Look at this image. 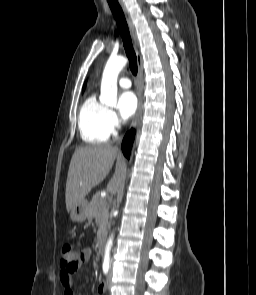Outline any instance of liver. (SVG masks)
I'll list each match as a JSON object with an SVG mask.
<instances>
[{"label":"liver","instance_id":"6515ba94","mask_svg":"<svg viewBox=\"0 0 256 295\" xmlns=\"http://www.w3.org/2000/svg\"><path fill=\"white\" fill-rule=\"evenodd\" d=\"M115 159V173L107 185V191L111 194L117 191L122 179L124 159L118 148L109 144H94L75 150L66 182L65 202L68 212L84 201L90 190L106 178Z\"/></svg>","mask_w":256,"mask_h":295}]
</instances>
